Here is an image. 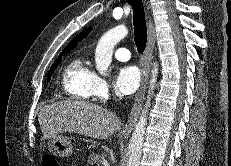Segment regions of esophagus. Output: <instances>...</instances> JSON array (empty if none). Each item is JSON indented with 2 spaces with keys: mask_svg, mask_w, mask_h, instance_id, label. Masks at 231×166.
Wrapping results in <instances>:
<instances>
[{
  "mask_svg": "<svg viewBox=\"0 0 231 166\" xmlns=\"http://www.w3.org/2000/svg\"><path fill=\"white\" fill-rule=\"evenodd\" d=\"M148 18H149L148 19V41H147L146 50H145L143 60H142L141 86H140L138 93L136 94L135 101H134L130 116L128 118V121L121 131V133L123 134L131 133V131L133 130V127L135 126V123L138 119V116L142 108V103H143L144 95H145L147 84H148L151 56H152V52H153L155 42H156V34H155L154 25L151 20V17L149 16Z\"/></svg>",
  "mask_w": 231,
  "mask_h": 166,
  "instance_id": "1",
  "label": "esophagus"
}]
</instances>
